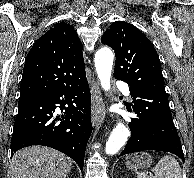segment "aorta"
Here are the masks:
<instances>
[{"label": "aorta", "instance_id": "1", "mask_svg": "<svg viewBox=\"0 0 194 178\" xmlns=\"http://www.w3.org/2000/svg\"><path fill=\"white\" fill-rule=\"evenodd\" d=\"M114 55L108 47H102L95 54V67L100 84L106 92L110 91V79ZM130 135L129 129L119 122L112 131L106 143L105 151L109 155L117 153L127 141Z\"/></svg>", "mask_w": 194, "mask_h": 178}]
</instances>
